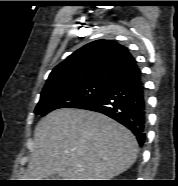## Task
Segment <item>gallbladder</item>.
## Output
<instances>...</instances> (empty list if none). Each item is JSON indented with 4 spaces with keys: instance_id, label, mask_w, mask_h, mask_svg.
I'll use <instances>...</instances> for the list:
<instances>
[{
    "instance_id": "obj_1",
    "label": "gallbladder",
    "mask_w": 178,
    "mask_h": 186,
    "mask_svg": "<svg viewBox=\"0 0 178 186\" xmlns=\"http://www.w3.org/2000/svg\"><path fill=\"white\" fill-rule=\"evenodd\" d=\"M49 180H57V176H52Z\"/></svg>"
}]
</instances>
